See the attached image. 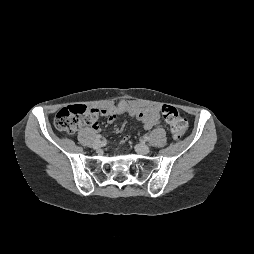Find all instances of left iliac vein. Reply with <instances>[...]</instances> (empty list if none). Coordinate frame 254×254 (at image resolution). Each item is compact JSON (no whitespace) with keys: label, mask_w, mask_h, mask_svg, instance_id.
Masks as SVG:
<instances>
[{"label":"left iliac vein","mask_w":254,"mask_h":254,"mask_svg":"<svg viewBox=\"0 0 254 254\" xmlns=\"http://www.w3.org/2000/svg\"><path fill=\"white\" fill-rule=\"evenodd\" d=\"M135 150H136V152H138L139 154H148L149 151H150V148H149V146H147L146 144L141 143V144H137V145L135 146Z\"/></svg>","instance_id":"left-iliac-vein-1"}]
</instances>
